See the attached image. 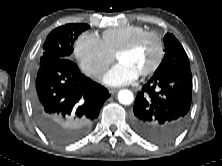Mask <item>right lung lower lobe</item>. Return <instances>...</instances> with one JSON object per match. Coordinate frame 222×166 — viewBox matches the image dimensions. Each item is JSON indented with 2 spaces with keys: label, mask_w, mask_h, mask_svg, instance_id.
Masks as SVG:
<instances>
[{
  "label": "right lung lower lobe",
  "mask_w": 222,
  "mask_h": 166,
  "mask_svg": "<svg viewBox=\"0 0 222 166\" xmlns=\"http://www.w3.org/2000/svg\"><path fill=\"white\" fill-rule=\"evenodd\" d=\"M109 97L105 87L64 58L39 67L31 100L40 129L54 142L69 144L88 132Z\"/></svg>",
  "instance_id": "1"
}]
</instances>
